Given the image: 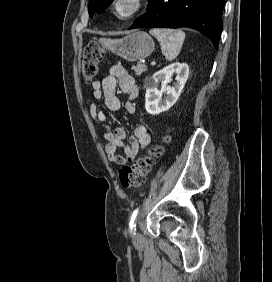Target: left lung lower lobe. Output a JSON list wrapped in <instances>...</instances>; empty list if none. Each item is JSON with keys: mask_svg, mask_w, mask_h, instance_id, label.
I'll use <instances>...</instances> for the list:
<instances>
[{"mask_svg": "<svg viewBox=\"0 0 272 282\" xmlns=\"http://www.w3.org/2000/svg\"><path fill=\"white\" fill-rule=\"evenodd\" d=\"M148 10L130 29L193 27L212 40L217 49L225 0H148Z\"/></svg>", "mask_w": 272, "mask_h": 282, "instance_id": "left-lung-lower-lobe-1", "label": "left lung lower lobe"}]
</instances>
